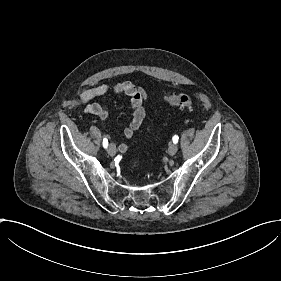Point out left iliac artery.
<instances>
[{"instance_id":"1","label":"left iliac artery","mask_w":281,"mask_h":281,"mask_svg":"<svg viewBox=\"0 0 281 281\" xmlns=\"http://www.w3.org/2000/svg\"><path fill=\"white\" fill-rule=\"evenodd\" d=\"M179 137L177 135H175L173 137V143L176 144L178 142Z\"/></svg>"}]
</instances>
